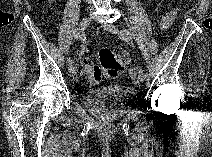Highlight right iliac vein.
I'll return each mask as SVG.
<instances>
[{"instance_id":"right-iliac-vein-1","label":"right iliac vein","mask_w":212,"mask_h":157,"mask_svg":"<svg viewBox=\"0 0 212 157\" xmlns=\"http://www.w3.org/2000/svg\"><path fill=\"white\" fill-rule=\"evenodd\" d=\"M91 19L90 18H84L78 28V31L76 34H78L79 38H81L85 32V30L90 26ZM76 69V66L74 63L70 64L68 67V71L70 74L74 73Z\"/></svg>"}]
</instances>
